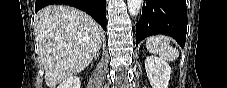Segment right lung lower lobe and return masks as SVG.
I'll return each instance as SVG.
<instances>
[{"mask_svg":"<svg viewBox=\"0 0 227 88\" xmlns=\"http://www.w3.org/2000/svg\"><path fill=\"white\" fill-rule=\"evenodd\" d=\"M51 4H66L91 15L105 30L106 0H36L35 12Z\"/></svg>","mask_w":227,"mask_h":88,"instance_id":"right-lung-lower-lobe-1","label":"right lung lower lobe"}]
</instances>
